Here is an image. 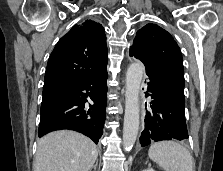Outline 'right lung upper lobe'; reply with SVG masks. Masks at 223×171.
I'll return each instance as SVG.
<instances>
[{
    "instance_id": "right-lung-upper-lobe-1",
    "label": "right lung upper lobe",
    "mask_w": 223,
    "mask_h": 171,
    "mask_svg": "<svg viewBox=\"0 0 223 171\" xmlns=\"http://www.w3.org/2000/svg\"><path fill=\"white\" fill-rule=\"evenodd\" d=\"M105 30L92 20L75 25L56 44L44 79L43 93L81 83L107 66Z\"/></svg>"
}]
</instances>
